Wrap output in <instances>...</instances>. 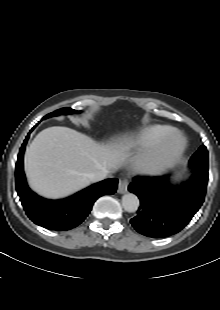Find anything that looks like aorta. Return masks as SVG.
Segmentation results:
<instances>
[{"instance_id": "762f6f07", "label": "aorta", "mask_w": 220, "mask_h": 310, "mask_svg": "<svg viewBox=\"0 0 220 310\" xmlns=\"http://www.w3.org/2000/svg\"><path fill=\"white\" fill-rule=\"evenodd\" d=\"M122 206L125 211L133 213L139 207V199L135 194L127 193L122 197Z\"/></svg>"}]
</instances>
